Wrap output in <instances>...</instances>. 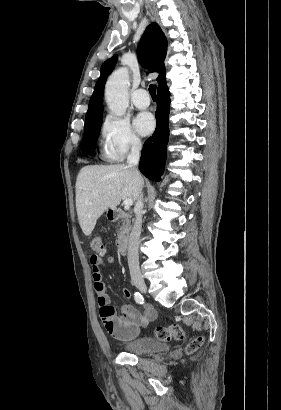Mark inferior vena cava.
Returning <instances> with one entry per match:
<instances>
[{"label":"inferior vena cava","instance_id":"602c4592","mask_svg":"<svg viewBox=\"0 0 281 410\" xmlns=\"http://www.w3.org/2000/svg\"><path fill=\"white\" fill-rule=\"evenodd\" d=\"M142 149V144L140 141H135L132 144L131 152L127 156V166L137 173H139L137 169V165L140 159V151ZM142 215H143V195L142 189L140 194L137 198L136 206H135V222L129 237V244H128V265L130 270V275L132 280H140L142 279L140 268H139V256H138V248H139V240L141 235L142 229Z\"/></svg>","mask_w":281,"mask_h":410}]
</instances>
